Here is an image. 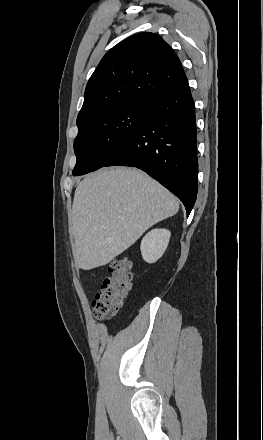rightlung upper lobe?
I'll use <instances>...</instances> for the list:
<instances>
[{
	"mask_svg": "<svg viewBox=\"0 0 263 440\" xmlns=\"http://www.w3.org/2000/svg\"><path fill=\"white\" fill-rule=\"evenodd\" d=\"M187 81L181 62L158 35L144 32L117 44L90 77L77 124L104 110L150 103Z\"/></svg>",
	"mask_w": 263,
	"mask_h": 440,
	"instance_id": "1",
	"label": "right lung upper lobe"
}]
</instances>
